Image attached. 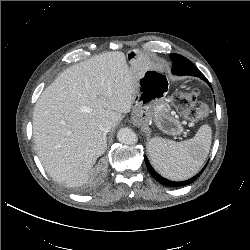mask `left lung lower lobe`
Here are the masks:
<instances>
[{
	"label": "left lung lower lobe",
	"mask_w": 250,
	"mask_h": 250,
	"mask_svg": "<svg viewBox=\"0 0 250 250\" xmlns=\"http://www.w3.org/2000/svg\"><path fill=\"white\" fill-rule=\"evenodd\" d=\"M171 58L173 61V65H172V73L175 75H190V76H195V77H199L202 80H204L205 82H207L209 85L210 83L208 82V80L204 77V75L197 69V67L191 63L188 59H186L185 57L179 55V54H171ZM145 163L147 166L148 171L150 172V174L161 184L165 185V186H169V187H179V186H185L188 185L190 183H192L193 181H195L200 175L201 173L204 171V169L206 168L207 164L204 166V168L194 177L186 180V181H181V182H175V181H170L168 179L163 178L162 176H160L151 166V164L149 163L147 157L145 156Z\"/></svg>",
	"instance_id": "obj_1"
}]
</instances>
